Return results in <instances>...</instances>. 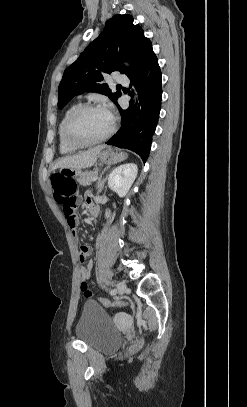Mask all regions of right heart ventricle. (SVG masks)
Instances as JSON below:
<instances>
[{"instance_id": "e07e8e85", "label": "right heart ventricle", "mask_w": 247, "mask_h": 407, "mask_svg": "<svg viewBox=\"0 0 247 407\" xmlns=\"http://www.w3.org/2000/svg\"><path fill=\"white\" fill-rule=\"evenodd\" d=\"M79 105H80L79 103H75V104L69 106V107L66 109V111L64 112V114H63V116H62V118H61V120H60V123H59V125H58L57 133H58V141H59V151H60V153H62V154H71V153L75 152V151L78 149V148H75V147L70 146V145L66 142V140H65V138H64V125H65L66 119H67V117L69 116V114H70L76 107H78Z\"/></svg>"}]
</instances>
